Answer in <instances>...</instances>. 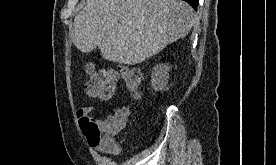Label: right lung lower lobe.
<instances>
[{
	"instance_id": "obj_1",
	"label": "right lung lower lobe",
	"mask_w": 276,
	"mask_h": 165,
	"mask_svg": "<svg viewBox=\"0 0 276 165\" xmlns=\"http://www.w3.org/2000/svg\"><path fill=\"white\" fill-rule=\"evenodd\" d=\"M184 1L188 2L194 8V10H197L198 0H184Z\"/></svg>"
}]
</instances>
